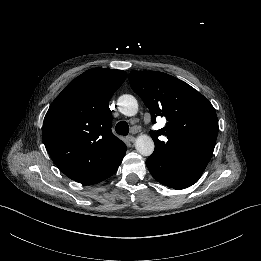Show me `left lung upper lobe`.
Returning <instances> with one entry per match:
<instances>
[{"label":"left lung upper lobe","mask_w":261,"mask_h":261,"mask_svg":"<svg viewBox=\"0 0 261 261\" xmlns=\"http://www.w3.org/2000/svg\"><path fill=\"white\" fill-rule=\"evenodd\" d=\"M129 82L151 113L161 116L166 127L150 132L153 154L164 159L206 168L211 159L218 120L210 101L187 83L162 72L131 71ZM166 135L160 141L158 136Z\"/></svg>","instance_id":"obj_1"}]
</instances>
